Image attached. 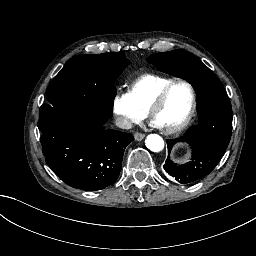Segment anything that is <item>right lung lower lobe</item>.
<instances>
[{
    "mask_svg": "<svg viewBox=\"0 0 256 256\" xmlns=\"http://www.w3.org/2000/svg\"><path fill=\"white\" fill-rule=\"evenodd\" d=\"M104 124L81 116L53 121L40 130L46 162L67 185L95 191L117 180L124 150L134 137Z\"/></svg>",
    "mask_w": 256,
    "mask_h": 256,
    "instance_id": "right-lung-lower-lobe-1",
    "label": "right lung lower lobe"
}]
</instances>
